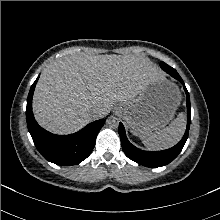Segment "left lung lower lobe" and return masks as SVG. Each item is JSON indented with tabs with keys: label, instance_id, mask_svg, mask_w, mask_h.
<instances>
[{
	"label": "left lung lower lobe",
	"instance_id": "obj_1",
	"mask_svg": "<svg viewBox=\"0 0 220 220\" xmlns=\"http://www.w3.org/2000/svg\"><path fill=\"white\" fill-rule=\"evenodd\" d=\"M160 67L165 72H167L169 75H171L175 79L179 80L184 87V90L186 93V98H187V100H186L187 127H186V131H185L183 138L181 139V141L177 145H175L174 147L167 149V150L150 152V151L140 150V149L136 148L134 145H132L126 137L123 124L119 123V135H120V139H121V146H122L124 153L126 154V156L129 159L137 162L138 164L146 166V167H161V166L167 165L168 163L173 161L178 156V154L181 152L183 146L185 145V142H186V140L188 138V134H189V128H190L191 105H190L189 93L185 87V84H184L182 78L180 77V75L178 74V72L174 68L170 67L169 65H167L164 62L160 63Z\"/></svg>",
	"mask_w": 220,
	"mask_h": 220
}]
</instances>
